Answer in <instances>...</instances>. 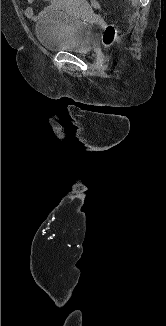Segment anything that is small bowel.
<instances>
[{
	"instance_id": "c3829d8e",
	"label": "small bowel",
	"mask_w": 166,
	"mask_h": 326,
	"mask_svg": "<svg viewBox=\"0 0 166 326\" xmlns=\"http://www.w3.org/2000/svg\"><path fill=\"white\" fill-rule=\"evenodd\" d=\"M28 5L25 10L24 14L27 18L31 19L32 21H37L41 15L58 9H64L76 2V0H43L44 2H47V7L42 10L41 12H36L34 8L32 7V4L35 2V0H26Z\"/></svg>"
}]
</instances>
